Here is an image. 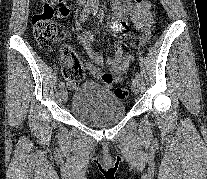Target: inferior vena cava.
<instances>
[{
    "mask_svg": "<svg viewBox=\"0 0 207 179\" xmlns=\"http://www.w3.org/2000/svg\"><path fill=\"white\" fill-rule=\"evenodd\" d=\"M78 1L82 2V1H84V0H78Z\"/></svg>",
    "mask_w": 207,
    "mask_h": 179,
    "instance_id": "1",
    "label": "inferior vena cava"
}]
</instances>
